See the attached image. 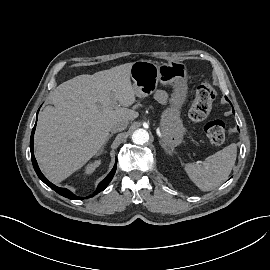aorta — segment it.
Returning <instances> with one entry per match:
<instances>
[{
  "mask_svg": "<svg viewBox=\"0 0 270 270\" xmlns=\"http://www.w3.org/2000/svg\"><path fill=\"white\" fill-rule=\"evenodd\" d=\"M132 140L135 144L143 145L144 143L148 142L149 134L144 129H138L134 131L132 135Z\"/></svg>",
  "mask_w": 270,
  "mask_h": 270,
  "instance_id": "762f6f07",
  "label": "aorta"
}]
</instances>
